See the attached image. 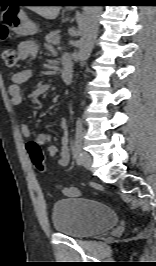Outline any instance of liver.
Wrapping results in <instances>:
<instances>
[{
	"instance_id": "liver-1",
	"label": "liver",
	"mask_w": 156,
	"mask_h": 266,
	"mask_svg": "<svg viewBox=\"0 0 156 266\" xmlns=\"http://www.w3.org/2000/svg\"><path fill=\"white\" fill-rule=\"evenodd\" d=\"M29 9L45 19L53 20L58 16L60 6H30Z\"/></svg>"
}]
</instances>
